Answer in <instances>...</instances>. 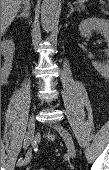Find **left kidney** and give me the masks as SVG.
<instances>
[{"label": "left kidney", "mask_w": 109, "mask_h": 170, "mask_svg": "<svg viewBox=\"0 0 109 170\" xmlns=\"http://www.w3.org/2000/svg\"><path fill=\"white\" fill-rule=\"evenodd\" d=\"M79 31L83 37H89L93 31H99L106 41H109V22L105 19H99L96 17L88 18L79 24ZM108 52V50H106ZM95 69L101 74H107L109 71V62L105 61L99 63L92 62Z\"/></svg>", "instance_id": "left-kidney-1"}]
</instances>
